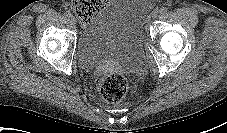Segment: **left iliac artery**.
<instances>
[{"label":"left iliac artery","mask_w":227,"mask_h":133,"mask_svg":"<svg viewBox=\"0 0 227 133\" xmlns=\"http://www.w3.org/2000/svg\"><path fill=\"white\" fill-rule=\"evenodd\" d=\"M167 8L166 7H162V8H160V10H159V12L161 13V14H166L167 13Z\"/></svg>","instance_id":"obj_1"}]
</instances>
